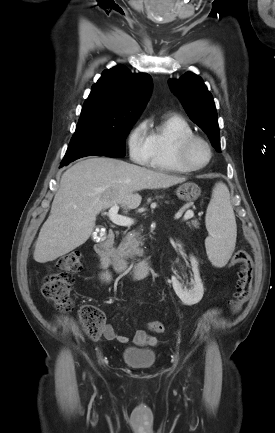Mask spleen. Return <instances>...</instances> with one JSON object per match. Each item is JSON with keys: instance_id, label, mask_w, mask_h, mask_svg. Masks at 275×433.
<instances>
[{"instance_id": "1", "label": "spleen", "mask_w": 275, "mask_h": 433, "mask_svg": "<svg viewBox=\"0 0 275 433\" xmlns=\"http://www.w3.org/2000/svg\"><path fill=\"white\" fill-rule=\"evenodd\" d=\"M205 222L209 233L205 240L208 258L214 266L223 267L232 256L237 236L229 190L223 183H217L213 189Z\"/></svg>"}]
</instances>
